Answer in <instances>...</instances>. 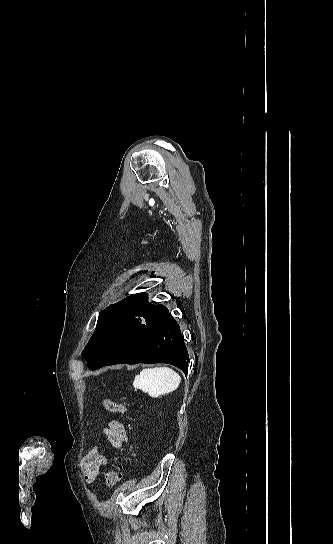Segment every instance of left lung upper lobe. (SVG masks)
I'll list each match as a JSON object with an SVG mask.
<instances>
[{
    "label": "left lung upper lobe",
    "instance_id": "1",
    "mask_svg": "<svg viewBox=\"0 0 333 544\" xmlns=\"http://www.w3.org/2000/svg\"><path fill=\"white\" fill-rule=\"evenodd\" d=\"M169 313L167 307L159 304L153 305L148 301L147 293L130 295L116 304H112L99 314L96 330L82 352L83 357L88 361L90 369L95 368L103 360V353L98 345V331L109 319L125 318L131 319L136 324L150 326Z\"/></svg>",
    "mask_w": 333,
    "mask_h": 544
}]
</instances>
